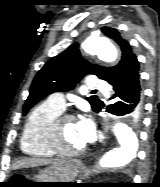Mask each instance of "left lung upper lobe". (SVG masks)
Wrapping results in <instances>:
<instances>
[{
  "label": "left lung upper lobe",
  "instance_id": "obj_1",
  "mask_svg": "<svg viewBox=\"0 0 160 187\" xmlns=\"http://www.w3.org/2000/svg\"><path fill=\"white\" fill-rule=\"evenodd\" d=\"M101 30L120 47L122 52L121 61L114 67L91 64L80 57L77 43L70 46L67 50L48 61L37 73L25 102L23 115L46 95L73 89L75 84L87 74L97 75L108 83L122 74L129 60L135 54H133L129 43L116 29L103 27ZM87 101L91 104L92 109L98 112L101 106L100 100L96 96H91L87 98ZM128 121L133 127H137L139 124L130 119Z\"/></svg>",
  "mask_w": 160,
  "mask_h": 187
}]
</instances>
